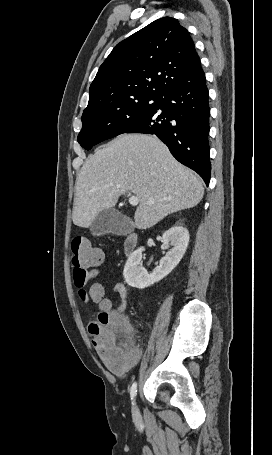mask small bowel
<instances>
[{
    "label": "small bowel",
    "instance_id": "obj_1",
    "mask_svg": "<svg viewBox=\"0 0 272 455\" xmlns=\"http://www.w3.org/2000/svg\"><path fill=\"white\" fill-rule=\"evenodd\" d=\"M115 292L119 295L121 302L110 313L113 314L114 316L122 318V313L126 306L127 289L123 284H118L115 287ZM138 356H139V353L137 352L135 360L138 358Z\"/></svg>",
    "mask_w": 272,
    "mask_h": 455
}]
</instances>
